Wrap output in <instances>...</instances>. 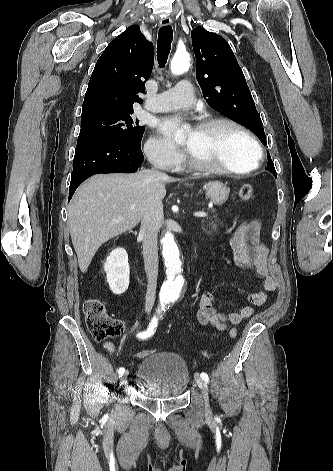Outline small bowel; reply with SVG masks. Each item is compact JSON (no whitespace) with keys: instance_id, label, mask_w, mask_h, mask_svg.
<instances>
[{"instance_id":"1","label":"small bowel","mask_w":333,"mask_h":471,"mask_svg":"<svg viewBox=\"0 0 333 471\" xmlns=\"http://www.w3.org/2000/svg\"><path fill=\"white\" fill-rule=\"evenodd\" d=\"M260 231L261 225L258 221L243 223L231 236L229 245L234 264L240 268L253 269L262 281V290L248 293L246 300L250 305L229 314H223L215 308L214 295L211 292L202 293L197 311V320L200 325L212 326L224 331L229 324H240L253 315L252 306H262L268 294L275 290L276 283L269 275L267 264L268 249L260 241ZM103 346L110 353L115 350L111 342H105Z\"/></svg>"}]
</instances>
